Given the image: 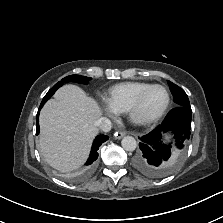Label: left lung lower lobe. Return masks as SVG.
Listing matches in <instances>:
<instances>
[{
  "label": "left lung lower lobe",
  "instance_id": "left-lung-lower-lobe-1",
  "mask_svg": "<svg viewBox=\"0 0 223 223\" xmlns=\"http://www.w3.org/2000/svg\"><path fill=\"white\" fill-rule=\"evenodd\" d=\"M191 112V108L176 106L161 125L139 138L140 152L134 161L139 171L149 177H162L174 168L177 156H173L171 144L162 143V134L172 132L177 148L182 150L190 138Z\"/></svg>",
  "mask_w": 223,
  "mask_h": 223
}]
</instances>
